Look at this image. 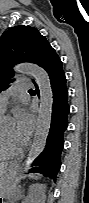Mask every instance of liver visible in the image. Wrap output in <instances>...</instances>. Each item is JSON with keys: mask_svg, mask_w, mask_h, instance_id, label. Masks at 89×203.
<instances>
[{"mask_svg": "<svg viewBox=\"0 0 89 203\" xmlns=\"http://www.w3.org/2000/svg\"><path fill=\"white\" fill-rule=\"evenodd\" d=\"M7 166H8V164H1L0 165V175H1V177H3V175L5 174Z\"/></svg>", "mask_w": 89, "mask_h": 203, "instance_id": "obj_1", "label": "liver"}]
</instances>
